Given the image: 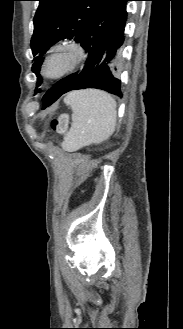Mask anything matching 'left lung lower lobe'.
<instances>
[{"label":"left lung lower lobe","mask_w":183,"mask_h":329,"mask_svg":"<svg viewBox=\"0 0 183 329\" xmlns=\"http://www.w3.org/2000/svg\"><path fill=\"white\" fill-rule=\"evenodd\" d=\"M128 1L131 0H115L91 23L80 42L86 52L83 67L59 80L45 93L44 108L75 89L98 88L122 96L118 67Z\"/></svg>","instance_id":"1"}]
</instances>
